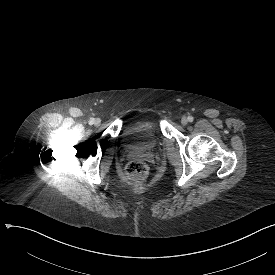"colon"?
I'll use <instances>...</instances> for the list:
<instances>
[{"label":"colon","mask_w":275,"mask_h":275,"mask_svg":"<svg viewBox=\"0 0 275 275\" xmlns=\"http://www.w3.org/2000/svg\"><path fill=\"white\" fill-rule=\"evenodd\" d=\"M146 171V163L142 160H134L127 165V174L132 178L143 177Z\"/></svg>","instance_id":"obj_1"}]
</instances>
